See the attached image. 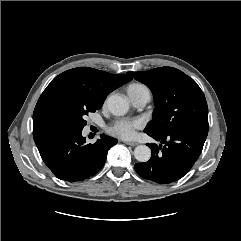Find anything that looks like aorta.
<instances>
[{
	"mask_svg": "<svg viewBox=\"0 0 241 241\" xmlns=\"http://www.w3.org/2000/svg\"><path fill=\"white\" fill-rule=\"evenodd\" d=\"M108 109L114 115H124L129 110V102L121 95H111L107 100ZM134 157L139 162H147L151 157V150L146 145H139L134 149Z\"/></svg>",
	"mask_w": 241,
	"mask_h": 241,
	"instance_id": "762f6f07",
	"label": "aorta"
}]
</instances>
